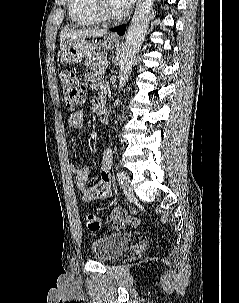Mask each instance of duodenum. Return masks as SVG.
Masks as SVG:
<instances>
[{"mask_svg":"<svg viewBox=\"0 0 239 303\" xmlns=\"http://www.w3.org/2000/svg\"><path fill=\"white\" fill-rule=\"evenodd\" d=\"M98 117H99V121L102 123V124H106L109 120V117H108V111L105 107H100L99 110H98Z\"/></svg>","mask_w":239,"mask_h":303,"instance_id":"1","label":"duodenum"}]
</instances>
